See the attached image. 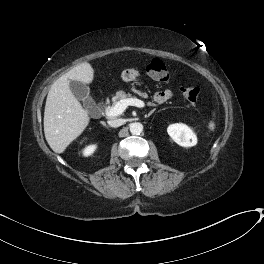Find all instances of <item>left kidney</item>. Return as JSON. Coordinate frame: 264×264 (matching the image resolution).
<instances>
[{"label":"left kidney","instance_id":"obj_1","mask_svg":"<svg viewBox=\"0 0 264 264\" xmlns=\"http://www.w3.org/2000/svg\"><path fill=\"white\" fill-rule=\"evenodd\" d=\"M169 136L180 146L191 147L197 144V137L190 127L183 123L171 124L167 128Z\"/></svg>","mask_w":264,"mask_h":264}]
</instances>
